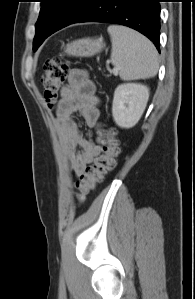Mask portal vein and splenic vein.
Masks as SVG:
<instances>
[{"label": "portal vein and splenic vein", "mask_w": 195, "mask_h": 299, "mask_svg": "<svg viewBox=\"0 0 195 299\" xmlns=\"http://www.w3.org/2000/svg\"><path fill=\"white\" fill-rule=\"evenodd\" d=\"M118 72V70L117 69H114V73H117Z\"/></svg>", "instance_id": "1"}]
</instances>
